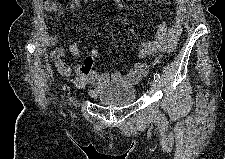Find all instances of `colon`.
<instances>
[{"label": "colon", "mask_w": 225, "mask_h": 159, "mask_svg": "<svg viewBox=\"0 0 225 159\" xmlns=\"http://www.w3.org/2000/svg\"><path fill=\"white\" fill-rule=\"evenodd\" d=\"M160 57H157L154 61V63H157L159 61Z\"/></svg>", "instance_id": "obj_1"}]
</instances>
